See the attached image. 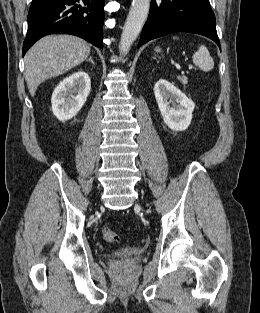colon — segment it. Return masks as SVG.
<instances>
[{
  "label": "colon",
  "mask_w": 260,
  "mask_h": 313,
  "mask_svg": "<svg viewBox=\"0 0 260 313\" xmlns=\"http://www.w3.org/2000/svg\"><path fill=\"white\" fill-rule=\"evenodd\" d=\"M103 239L108 243H117L119 241L118 234L110 228H103L102 230Z\"/></svg>",
  "instance_id": "5ec220e1"
}]
</instances>
